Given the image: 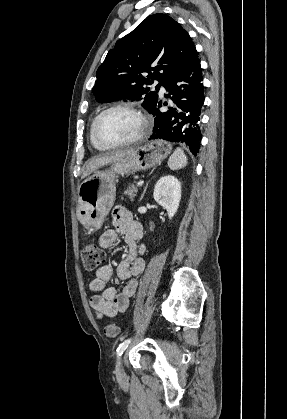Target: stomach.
Wrapping results in <instances>:
<instances>
[{"label": "stomach", "mask_w": 287, "mask_h": 419, "mask_svg": "<svg viewBox=\"0 0 287 419\" xmlns=\"http://www.w3.org/2000/svg\"><path fill=\"white\" fill-rule=\"evenodd\" d=\"M170 152V143L153 140L112 162L109 169L94 172L78 188V217L89 227L99 226L114 204L116 175L150 169Z\"/></svg>", "instance_id": "stomach-1"}]
</instances>
